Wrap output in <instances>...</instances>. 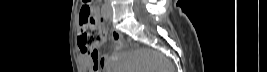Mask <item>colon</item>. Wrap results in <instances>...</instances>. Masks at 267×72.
Returning a JSON list of instances; mask_svg holds the SVG:
<instances>
[{"label":"colon","instance_id":"5ec220e1","mask_svg":"<svg viewBox=\"0 0 267 72\" xmlns=\"http://www.w3.org/2000/svg\"><path fill=\"white\" fill-rule=\"evenodd\" d=\"M97 1L83 0L80 11V28L81 33L78 38L80 50L86 54H92L96 47L101 45L105 40V31L98 24V16L94 5ZM172 65L165 61L163 72H172Z\"/></svg>","mask_w":267,"mask_h":72}]
</instances>
